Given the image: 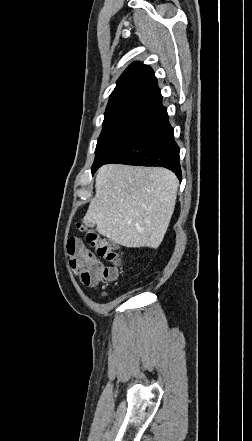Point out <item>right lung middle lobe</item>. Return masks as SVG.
I'll return each mask as SVG.
<instances>
[{
  "mask_svg": "<svg viewBox=\"0 0 252 441\" xmlns=\"http://www.w3.org/2000/svg\"><path fill=\"white\" fill-rule=\"evenodd\" d=\"M146 104V101L132 102L106 110L92 168L106 161L120 146L141 117Z\"/></svg>",
  "mask_w": 252,
  "mask_h": 441,
  "instance_id": "right-lung-middle-lobe-1",
  "label": "right lung middle lobe"
}]
</instances>
